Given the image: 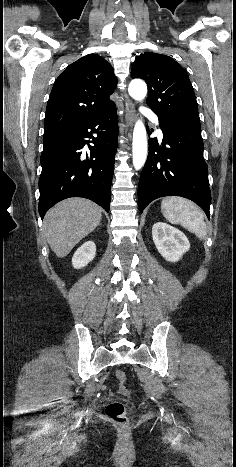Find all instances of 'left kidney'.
I'll return each mask as SVG.
<instances>
[{"label":"left kidney","instance_id":"obj_1","mask_svg":"<svg viewBox=\"0 0 236 467\" xmlns=\"http://www.w3.org/2000/svg\"><path fill=\"white\" fill-rule=\"evenodd\" d=\"M152 237L158 252L169 262H177L190 248L183 232L163 222L153 225Z\"/></svg>","mask_w":236,"mask_h":467}]
</instances>
